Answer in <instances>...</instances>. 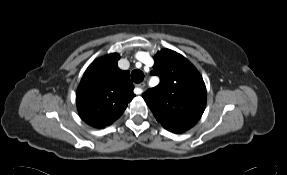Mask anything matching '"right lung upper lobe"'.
<instances>
[{"label":"right lung upper lobe","instance_id":"1","mask_svg":"<svg viewBox=\"0 0 287 175\" xmlns=\"http://www.w3.org/2000/svg\"><path fill=\"white\" fill-rule=\"evenodd\" d=\"M120 56L95 60L85 71L76 93L80 117L88 125L103 128L117 120L135 94L129 71L118 68Z\"/></svg>","mask_w":287,"mask_h":175}]
</instances>
